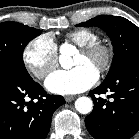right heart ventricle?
<instances>
[{
    "label": "right heart ventricle",
    "mask_w": 139,
    "mask_h": 139,
    "mask_svg": "<svg viewBox=\"0 0 139 139\" xmlns=\"http://www.w3.org/2000/svg\"><path fill=\"white\" fill-rule=\"evenodd\" d=\"M66 39L78 47L99 41V35L90 29H76L66 34Z\"/></svg>",
    "instance_id": "1"
}]
</instances>
